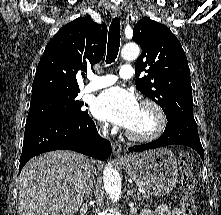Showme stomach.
I'll return each mask as SVG.
<instances>
[{
    "label": "stomach",
    "instance_id": "stomach-1",
    "mask_svg": "<svg viewBox=\"0 0 221 215\" xmlns=\"http://www.w3.org/2000/svg\"><path fill=\"white\" fill-rule=\"evenodd\" d=\"M122 164L134 182L149 195L169 194L177 183V159L166 148L130 154L122 158Z\"/></svg>",
    "mask_w": 221,
    "mask_h": 215
}]
</instances>
